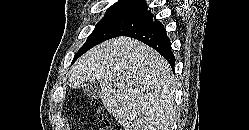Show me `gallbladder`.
Here are the masks:
<instances>
[{"instance_id": "obj_1", "label": "gallbladder", "mask_w": 249, "mask_h": 130, "mask_svg": "<svg viewBox=\"0 0 249 130\" xmlns=\"http://www.w3.org/2000/svg\"><path fill=\"white\" fill-rule=\"evenodd\" d=\"M83 92L89 98H98L101 96V87L98 81H89L83 86Z\"/></svg>"}]
</instances>
